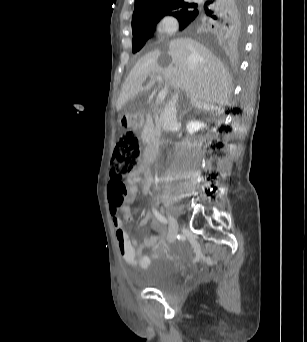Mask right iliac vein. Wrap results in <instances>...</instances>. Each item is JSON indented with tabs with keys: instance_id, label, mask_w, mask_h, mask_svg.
I'll return each mask as SVG.
<instances>
[{
	"instance_id": "obj_1",
	"label": "right iliac vein",
	"mask_w": 307,
	"mask_h": 342,
	"mask_svg": "<svg viewBox=\"0 0 307 342\" xmlns=\"http://www.w3.org/2000/svg\"><path fill=\"white\" fill-rule=\"evenodd\" d=\"M167 215L170 222L168 240L173 241L177 237L179 226L177 220L174 218L172 214L168 213Z\"/></svg>"
}]
</instances>
